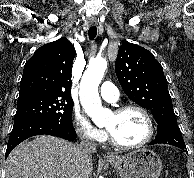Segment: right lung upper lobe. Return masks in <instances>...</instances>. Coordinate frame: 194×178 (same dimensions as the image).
Here are the masks:
<instances>
[{
  "mask_svg": "<svg viewBox=\"0 0 194 178\" xmlns=\"http://www.w3.org/2000/svg\"><path fill=\"white\" fill-rule=\"evenodd\" d=\"M76 51L67 38L43 45L26 62L18 100L71 97V70Z\"/></svg>",
  "mask_w": 194,
  "mask_h": 178,
  "instance_id": "right-lung-upper-lobe-1",
  "label": "right lung upper lobe"
}]
</instances>
